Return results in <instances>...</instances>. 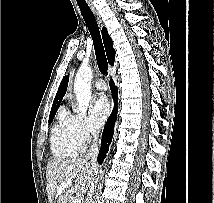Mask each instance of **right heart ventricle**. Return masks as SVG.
I'll list each match as a JSON object with an SVG mask.
<instances>
[{
	"instance_id": "right-heart-ventricle-1",
	"label": "right heart ventricle",
	"mask_w": 214,
	"mask_h": 203,
	"mask_svg": "<svg viewBox=\"0 0 214 203\" xmlns=\"http://www.w3.org/2000/svg\"><path fill=\"white\" fill-rule=\"evenodd\" d=\"M51 150L58 159H68L80 154L84 147L74 137L66 116L61 114L59 121L51 130Z\"/></svg>"
}]
</instances>
